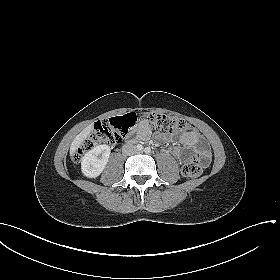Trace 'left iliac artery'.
Instances as JSON below:
<instances>
[{
	"label": "left iliac artery",
	"instance_id": "1",
	"mask_svg": "<svg viewBox=\"0 0 280 280\" xmlns=\"http://www.w3.org/2000/svg\"><path fill=\"white\" fill-rule=\"evenodd\" d=\"M145 152H146V153H150V152H151V149H150L149 147H146V148H145Z\"/></svg>",
	"mask_w": 280,
	"mask_h": 280
}]
</instances>
